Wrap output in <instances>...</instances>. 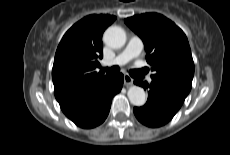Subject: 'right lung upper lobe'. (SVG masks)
<instances>
[{"label": "right lung upper lobe", "instance_id": "obj_1", "mask_svg": "<svg viewBox=\"0 0 230 155\" xmlns=\"http://www.w3.org/2000/svg\"><path fill=\"white\" fill-rule=\"evenodd\" d=\"M111 15H89L74 24L57 48L52 79L58 102L72 99L88 91L110 76L95 72L103 57L102 34L115 21Z\"/></svg>", "mask_w": 230, "mask_h": 155}]
</instances>
